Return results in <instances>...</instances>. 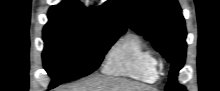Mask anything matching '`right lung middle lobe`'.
Here are the masks:
<instances>
[{
    "label": "right lung middle lobe",
    "mask_w": 220,
    "mask_h": 91,
    "mask_svg": "<svg viewBox=\"0 0 220 91\" xmlns=\"http://www.w3.org/2000/svg\"><path fill=\"white\" fill-rule=\"evenodd\" d=\"M122 32L84 26H45L44 68L52 78L49 88L89 75Z\"/></svg>",
    "instance_id": "right-lung-middle-lobe-1"
}]
</instances>
